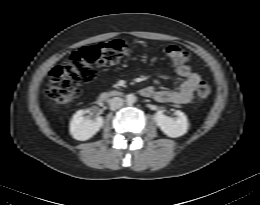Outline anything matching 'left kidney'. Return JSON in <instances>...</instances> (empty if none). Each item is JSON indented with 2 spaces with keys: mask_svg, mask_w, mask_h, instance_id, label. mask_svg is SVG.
<instances>
[{
  "mask_svg": "<svg viewBox=\"0 0 260 205\" xmlns=\"http://www.w3.org/2000/svg\"><path fill=\"white\" fill-rule=\"evenodd\" d=\"M176 118H171L163 114L162 110H159L154 115V120L157 126L160 127L162 132L168 137L177 138L187 133L189 123L186 115L177 110L175 112Z\"/></svg>",
  "mask_w": 260,
  "mask_h": 205,
  "instance_id": "5707ae66",
  "label": "left kidney"
}]
</instances>
